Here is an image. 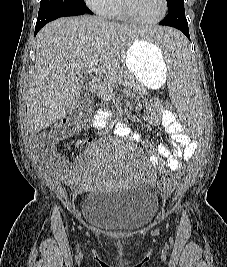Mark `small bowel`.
Instances as JSON below:
<instances>
[{
	"label": "small bowel",
	"instance_id": "small-bowel-1",
	"mask_svg": "<svg viewBox=\"0 0 227 267\" xmlns=\"http://www.w3.org/2000/svg\"><path fill=\"white\" fill-rule=\"evenodd\" d=\"M148 117L150 122L162 125L171 137L170 145L160 144L155 147L157 153H151L149 155L150 162L153 165L159 166L162 170L179 169L182 161L190 159L197 149V139L186 137L176 113L174 111L169 112V109H163L158 99L149 100ZM109 118L110 112L107 109L101 108L97 110L93 117L94 129L97 131L106 129ZM73 131L75 129L69 130V132ZM114 131L118 136H128L143 141L141 137L131 132L122 122L115 125ZM89 142L90 140H83L82 144H88ZM163 159L166 162H163ZM59 166L63 176L81 189L85 188L91 178L86 163L72 165L69 162L61 161Z\"/></svg>",
	"mask_w": 227,
	"mask_h": 267
}]
</instances>
